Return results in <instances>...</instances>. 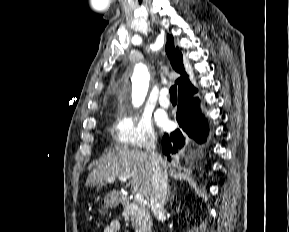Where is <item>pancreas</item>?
<instances>
[{"label": "pancreas", "mask_w": 289, "mask_h": 232, "mask_svg": "<svg viewBox=\"0 0 289 232\" xmlns=\"http://www.w3.org/2000/svg\"><path fill=\"white\" fill-rule=\"evenodd\" d=\"M122 216L126 221H132L135 232H150L152 223L149 211L144 205L138 203L127 204Z\"/></svg>", "instance_id": "1"}]
</instances>
